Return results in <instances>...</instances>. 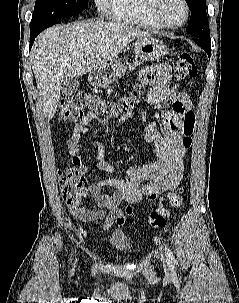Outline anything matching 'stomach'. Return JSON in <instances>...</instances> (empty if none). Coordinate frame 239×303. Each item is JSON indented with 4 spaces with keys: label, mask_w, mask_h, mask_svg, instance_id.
<instances>
[{
    "label": "stomach",
    "mask_w": 239,
    "mask_h": 303,
    "mask_svg": "<svg viewBox=\"0 0 239 303\" xmlns=\"http://www.w3.org/2000/svg\"><path fill=\"white\" fill-rule=\"evenodd\" d=\"M134 51L136 57L143 61H157L167 54L168 48L162 41L151 36H145L135 42ZM125 70V62L116 58L109 64L94 69L88 80L93 86L105 87L121 78Z\"/></svg>",
    "instance_id": "obj_1"
}]
</instances>
